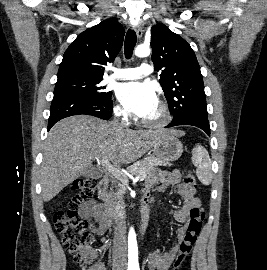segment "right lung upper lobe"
Wrapping results in <instances>:
<instances>
[{
    "label": "right lung upper lobe",
    "mask_w": 267,
    "mask_h": 270,
    "mask_svg": "<svg viewBox=\"0 0 267 270\" xmlns=\"http://www.w3.org/2000/svg\"><path fill=\"white\" fill-rule=\"evenodd\" d=\"M125 30L114 19H107L81 34L64 53L58 77L102 78L104 66L119 53Z\"/></svg>",
    "instance_id": "obj_1"
}]
</instances>
